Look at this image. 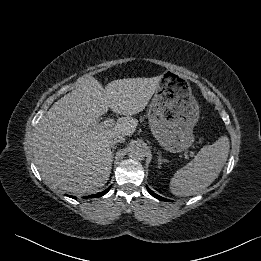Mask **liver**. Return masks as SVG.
<instances>
[{"instance_id":"liver-1","label":"liver","mask_w":261,"mask_h":261,"mask_svg":"<svg viewBox=\"0 0 261 261\" xmlns=\"http://www.w3.org/2000/svg\"><path fill=\"white\" fill-rule=\"evenodd\" d=\"M160 76L118 79L105 89L91 75L60 98L42 117L33 135L35 163L42 178L75 194L93 193L109 180L114 134L131 136L141 112L158 87ZM124 115L113 128L95 127L108 109Z\"/></svg>"}]
</instances>
